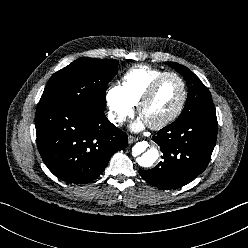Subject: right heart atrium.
<instances>
[{"mask_svg": "<svg viewBox=\"0 0 248 248\" xmlns=\"http://www.w3.org/2000/svg\"><path fill=\"white\" fill-rule=\"evenodd\" d=\"M106 101L112 122L122 125L134 113V104L126 97L121 86H112L106 92Z\"/></svg>", "mask_w": 248, "mask_h": 248, "instance_id": "right-heart-atrium-1", "label": "right heart atrium"}]
</instances>
